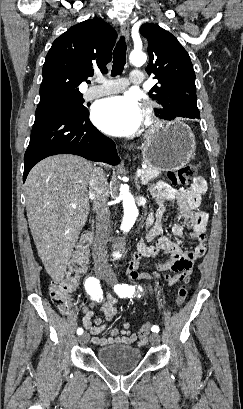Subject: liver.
Listing matches in <instances>:
<instances>
[{"label":"liver","instance_id":"1","mask_svg":"<svg viewBox=\"0 0 243 409\" xmlns=\"http://www.w3.org/2000/svg\"><path fill=\"white\" fill-rule=\"evenodd\" d=\"M91 162L69 154L36 164L25 182L29 228L38 255L52 280L60 282L87 221Z\"/></svg>","mask_w":243,"mask_h":409}]
</instances>
